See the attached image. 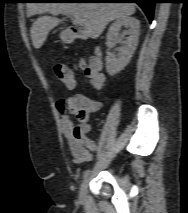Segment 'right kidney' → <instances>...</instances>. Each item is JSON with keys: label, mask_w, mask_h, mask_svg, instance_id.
<instances>
[{"label": "right kidney", "mask_w": 188, "mask_h": 213, "mask_svg": "<svg viewBox=\"0 0 188 213\" xmlns=\"http://www.w3.org/2000/svg\"><path fill=\"white\" fill-rule=\"evenodd\" d=\"M125 27L128 29V37L124 40L123 46L118 49V55L109 54L106 56V70L113 76L122 71L130 62L138 45L140 22L133 17L118 18L108 29L107 40L114 44L120 39L119 30Z\"/></svg>", "instance_id": "right-kidney-1"}]
</instances>
